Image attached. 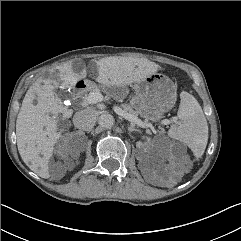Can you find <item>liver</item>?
<instances>
[{"instance_id":"liver-1","label":"liver","mask_w":241,"mask_h":241,"mask_svg":"<svg viewBox=\"0 0 241 241\" xmlns=\"http://www.w3.org/2000/svg\"><path fill=\"white\" fill-rule=\"evenodd\" d=\"M98 76L96 81L106 86L123 87L137 83L158 70L148 60L105 57L95 60ZM72 61L65 63L58 74L62 86L73 88L86 72L72 71ZM56 82L46 80L42 85L36 81L27 91L16 120V136L19 154L24 163L42 178H49L48 160L53 146L60 138L55 116L62 111L61 100L55 96ZM37 100L34 105L33 101Z\"/></svg>"}]
</instances>
